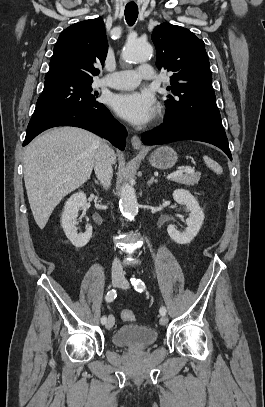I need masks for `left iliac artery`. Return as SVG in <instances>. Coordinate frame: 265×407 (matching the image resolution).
<instances>
[{
    "mask_svg": "<svg viewBox=\"0 0 265 407\" xmlns=\"http://www.w3.org/2000/svg\"><path fill=\"white\" fill-rule=\"evenodd\" d=\"M131 284L133 285L135 290L138 291V292H142L145 289V284L141 279L131 278ZM160 314L161 315H166V308L165 307L162 306L160 308Z\"/></svg>",
    "mask_w": 265,
    "mask_h": 407,
    "instance_id": "44dca946",
    "label": "left iliac artery"
}]
</instances>
